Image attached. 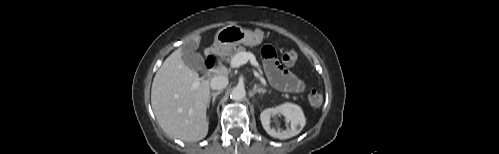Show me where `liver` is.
Wrapping results in <instances>:
<instances>
[{"label": "liver", "mask_w": 499, "mask_h": 154, "mask_svg": "<svg viewBox=\"0 0 499 154\" xmlns=\"http://www.w3.org/2000/svg\"><path fill=\"white\" fill-rule=\"evenodd\" d=\"M194 82H199L196 89ZM209 80L199 79L185 65L182 48L175 50L157 71L151 88V105L163 131L173 138L196 142L206 137Z\"/></svg>", "instance_id": "1"}]
</instances>
